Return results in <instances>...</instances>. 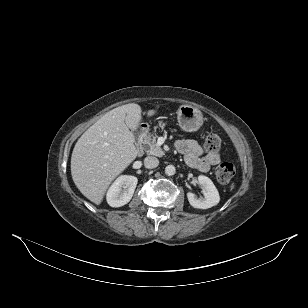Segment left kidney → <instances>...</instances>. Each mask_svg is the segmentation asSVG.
I'll list each match as a JSON object with an SVG mask.
<instances>
[{
  "label": "left kidney",
  "instance_id": "1",
  "mask_svg": "<svg viewBox=\"0 0 308 308\" xmlns=\"http://www.w3.org/2000/svg\"><path fill=\"white\" fill-rule=\"evenodd\" d=\"M198 181L204 188V198H197L195 194L188 192L187 198L190 205L198 209H208L217 205L220 201V196L211 179L200 175Z\"/></svg>",
  "mask_w": 308,
  "mask_h": 308
}]
</instances>
